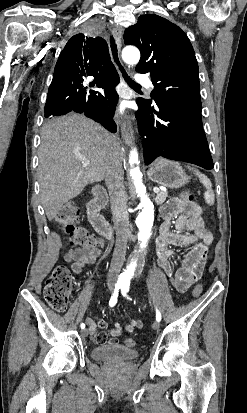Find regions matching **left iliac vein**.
<instances>
[{"instance_id": "4c4485c4", "label": "left iliac vein", "mask_w": 247, "mask_h": 413, "mask_svg": "<svg viewBox=\"0 0 247 413\" xmlns=\"http://www.w3.org/2000/svg\"><path fill=\"white\" fill-rule=\"evenodd\" d=\"M152 327L154 330H159L160 329V324L158 321L153 322Z\"/></svg>"}]
</instances>
